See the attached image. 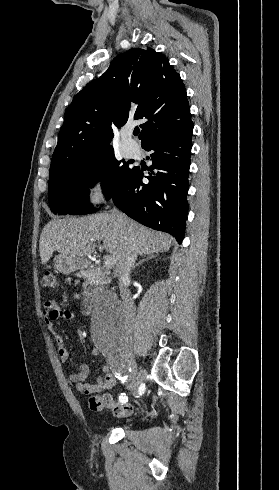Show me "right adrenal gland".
I'll use <instances>...</instances> for the list:
<instances>
[{
    "mask_svg": "<svg viewBox=\"0 0 279 490\" xmlns=\"http://www.w3.org/2000/svg\"><path fill=\"white\" fill-rule=\"evenodd\" d=\"M152 258H155L154 254H150V256H146V258H143V260H140L136 266H134V270H137L139 266H142V264H145V262H148V260H152Z\"/></svg>",
    "mask_w": 279,
    "mask_h": 490,
    "instance_id": "2a0ac1e0",
    "label": "right adrenal gland"
}]
</instances>
